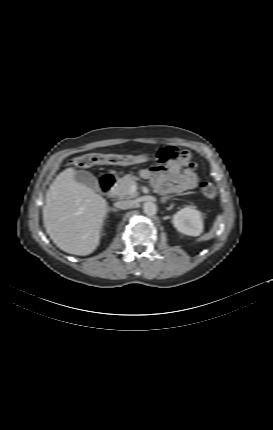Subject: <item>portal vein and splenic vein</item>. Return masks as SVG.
I'll use <instances>...</instances> for the list:
<instances>
[{
  "mask_svg": "<svg viewBox=\"0 0 273 430\" xmlns=\"http://www.w3.org/2000/svg\"><path fill=\"white\" fill-rule=\"evenodd\" d=\"M136 190H137V186H136V185H132V186L130 187V192H131V193L136 192Z\"/></svg>",
  "mask_w": 273,
  "mask_h": 430,
  "instance_id": "1",
  "label": "portal vein and splenic vein"
}]
</instances>
